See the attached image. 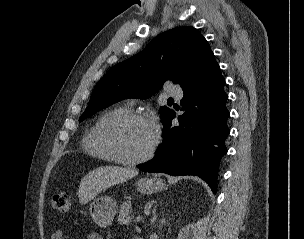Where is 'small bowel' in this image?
Listing matches in <instances>:
<instances>
[{
  "instance_id": "obj_1",
  "label": "small bowel",
  "mask_w": 304,
  "mask_h": 239,
  "mask_svg": "<svg viewBox=\"0 0 304 239\" xmlns=\"http://www.w3.org/2000/svg\"><path fill=\"white\" fill-rule=\"evenodd\" d=\"M64 238H65V232L62 229H56L55 231H53L50 237V239H64ZM87 239H102V238L97 233H90Z\"/></svg>"
}]
</instances>
